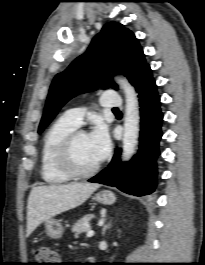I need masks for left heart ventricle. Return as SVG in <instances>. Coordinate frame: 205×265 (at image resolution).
<instances>
[{"label":"left heart ventricle","mask_w":205,"mask_h":265,"mask_svg":"<svg viewBox=\"0 0 205 265\" xmlns=\"http://www.w3.org/2000/svg\"><path fill=\"white\" fill-rule=\"evenodd\" d=\"M73 162L80 170H87L98 163L92 151L88 135L77 138L73 146Z\"/></svg>","instance_id":"1"}]
</instances>
